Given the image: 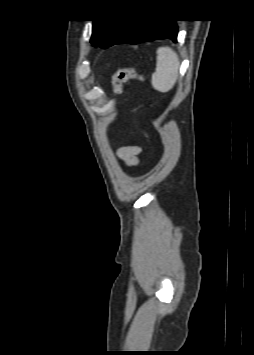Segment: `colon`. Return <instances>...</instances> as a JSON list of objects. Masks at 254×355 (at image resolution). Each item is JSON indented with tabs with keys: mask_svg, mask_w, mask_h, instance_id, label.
<instances>
[{
	"mask_svg": "<svg viewBox=\"0 0 254 355\" xmlns=\"http://www.w3.org/2000/svg\"><path fill=\"white\" fill-rule=\"evenodd\" d=\"M129 80L143 81V76L136 70L130 68L117 69L112 77V92L115 96L120 95L123 91L124 84ZM146 136L149 137L148 133Z\"/></svg>",
	"mask_w": 254,
	"mask_h": 355,
	"instance_id": "1",
	"label": "colon"
}]
</instances>
